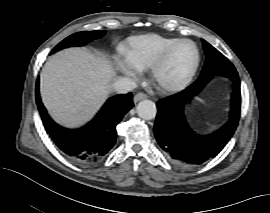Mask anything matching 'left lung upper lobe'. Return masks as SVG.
Here are the masks:
<instances>
[{"mask_svg":"<svg viewBox=\"0 0 270 213\" xmlns=\"http://www.w3.org/2000/svg\"><path fill=\"white\" fill-rule=\"evenodd\" d=\"M202 43L206 54V61L199 78L194 82L195 84L204 82L213 76L234 67L233 64L213 46L205 40H202Z\"/></svg>","mask_w":270,"mask_h":213,"instance_id":"5c2ea615","label":"left lung upper lobe"}]
</instances>
